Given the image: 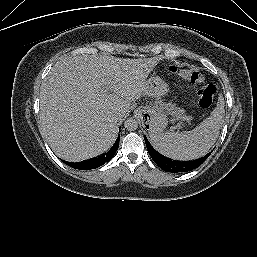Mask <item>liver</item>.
<instances>
[{
  "mask_svg": "<svg viewBox=\"0 0 257 257\" xmlns=\"http://www.w3.org/2000/svg\"><path fill=\"white\" fill-rule=\"evenodd\" d=\"M158 62L109 55L57 62L40 91L41 128L53 152L80 162L109 150L131 102L146 95V79Z\"/></svg>",
  "mask_w": 257,
  "mask_h": 257,
  "instance_id": "1",
  "label": "liver"
}]
</instances>
